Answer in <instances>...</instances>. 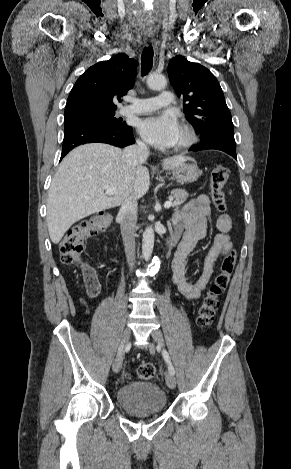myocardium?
Here are the masks:
<instances>
[{"label": "myocardium", "instance_id": "1", "mask_svg": "<svg viewBox=\"0 0 291 469\" xmlns=\"http://www.w3.org/2000/svg\"><path fill=\"white\" fill-rule=\"evenodd\" d=\"M183 134V140L175 145L174 151L184 152L190 149L197 141V136L194 129L189 125H183L181 128Z\"/></svg>", "mask_w": 291, "mask_h": 469}]
</instances>
